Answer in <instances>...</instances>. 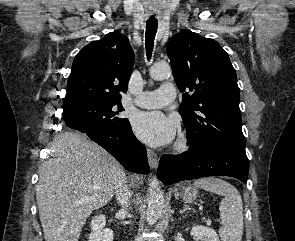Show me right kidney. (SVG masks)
I'll return each instance as SVG.
<instances>
[{"label": "right kidney", "mask_w": 295, "mask_h": 241, "mask_svg": "<svg viewBox=\"0 0 295 241\" xmlns=\"http://www.w3.org/2000/svg\"><path fill=\"white\" fill-rule=\"evenodd\" d=\"M106 217L103 214L95 216L91 223V233L89 241H113V231L109 228H104Z\"/></svg>", "instance_id": "1"}]
</instances>
